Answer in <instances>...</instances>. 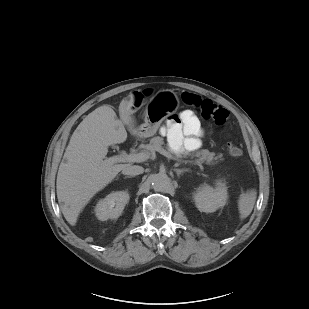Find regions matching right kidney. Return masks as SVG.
<instances>
[{"instance_id": "ca27d5eb", "label": "right kidney", "mask_w": 309, "mask_h": 309, "mask_svg": "<svg viewBox=\"0 0 309 309\" xmlns=\"http://www.w3.org/2000/svg\"><path fill=\"white\" fill-rule=\"evenodd\" d=\"M129 201V194L124 191L110 193L100 200L95 207V214L101 221L118 218Z\"/></svg>"}]
</instances>
